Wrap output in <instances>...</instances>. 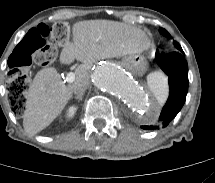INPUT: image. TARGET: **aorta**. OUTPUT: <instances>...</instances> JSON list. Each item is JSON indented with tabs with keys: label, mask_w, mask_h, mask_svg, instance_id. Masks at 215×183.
Masks as SVG:
<instances>
[{
	"label": "aorta",
	"mask_w": 215,
	"mask_h": 183,
	"mask_svg": "<svg viewBox=\"0 0 215 183\" xmlns=\"http://www.w3.org/2000/svg\"><path fill=\"white\" fill-rule=\"evenodd\" d=\"M90 77L99 91L123 100L136 114L149 113L151 104L144 90L122 68L114 64L102 63L92 70Z\"/></svg>",
	"instance_id": "1"
}]
</instances>
